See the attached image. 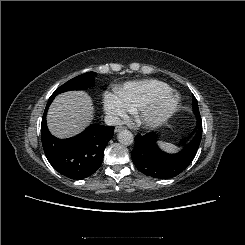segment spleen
I'll return each mask as SVG.
<instances>
[{"instance_id":"3e777b00","label":"spleen","mask_w":245,"mask_h":245,"mask_svg":"<svg viewBox=\"0 0 245 245\" xmlns=\"http://www.w3.org/2000/svg\"><path fill=\"white\" fill-rule=\"evenodd\" d=\"M157 145L163 149L166 152H171L174 153L176 152L179 148L171 143H166V142H162V141H158Z\"/></svg>"}]
</instances>
